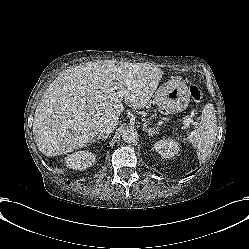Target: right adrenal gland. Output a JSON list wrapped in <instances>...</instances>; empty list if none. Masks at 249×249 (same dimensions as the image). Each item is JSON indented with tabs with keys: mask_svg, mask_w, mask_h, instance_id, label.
<instances>
[{
	"mask_svg": "<svg viewBox=\"0 0 249 249\" xmlns=\"http://www.w3.org/2000/svg\"><path fill=\"white\" fill-rule=\"evenodd\" d=\"M108 138V135L104 136V135H100L98 136L96 139L93 140V142H97L99 140H105Z\"/></svg>",
	"mask_w": 249,
	"mask_h": 249,
	"instance_id": "1",
	"label": "right adrenal gland"
}]
</instances>
